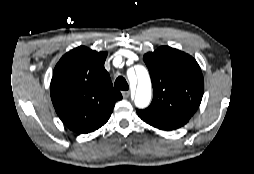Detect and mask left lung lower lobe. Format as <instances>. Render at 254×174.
<instances>
[{"mask_svg": "<svg viewBox=\"0 0 254 174\" xmlns=\"http://www.w3.org/2000/svg\"><path fill=\"white\" fill-rule=\"evenodd\" d=\"M136 112L139 117L146 123L165 131H171L180 128L189 121V119L173 118L151 110H136Z\"/></svg>", "mask_w": 254, "mask_h": 174, "instance_id": "0a47b994", "label": "left lung lower lobe"}]
</instances>
